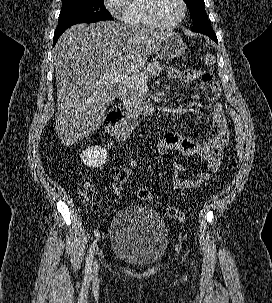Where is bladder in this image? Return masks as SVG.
<instances>
[{
    "instance_id": "31cf9c89",
    "label": "bladder",
    "mask_w": 272,
    "mask_h": 303,
    "mask_svg": "<svg viewBox=\"0 0 272 303\" xmlns=\"http://www.w3.org/2000/svg\"><path fill=\"white\" fill-rule=\"evenodd\" d=\"M111 252L117 259L136 266L159 263L168 248V229L155 210L130 205L114 215L109 228Z\"/></svg>"
}]
</instances>
